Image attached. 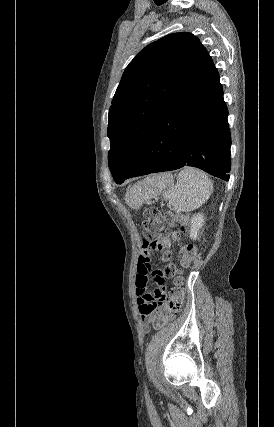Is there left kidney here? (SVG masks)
<instances>
[{
  "instance_id": "left-kidney-1",
  "label": "left kidney",
  "mask_w": 274,
  "mask_h": 427,
  "mask_svg": "<svg viewBox=\"0 0 274 427\" xmlns=\"http://www.w3.org/2000/svg\"><path fill=\"white\" fill-rule=\"evenodd\" d=\"M204 223V215L202 214H196L191 219V227H190V237L191 239H197L198 233L203 227Z\"/></svg>"
}]
</instances>
